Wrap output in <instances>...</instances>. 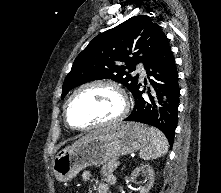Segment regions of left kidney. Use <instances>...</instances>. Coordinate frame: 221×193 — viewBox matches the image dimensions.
Returning a JSON list of instances; mask_svg holds the SVG:
<instances>
[{"instance_id": "1", "label": "left kidney", "mask_w": 221, "mask_h": 193, "mask_svg": "<svg viewBox=\"0 0 221 193\" xmlns=\"http://www.w3.org/2000/svg\"><path fill=\"white\" fill-rule=\"evenodd\" d=\"M140 173H142V175L145 176L147 179V182L145 183V185L139 187L140 193H148L154 184V180H155L154 170L148 164L141 165L139 167H136L133 170V172L131 173V176L132 178H136L137 175Z\"/></svg>"}]
</instances>
